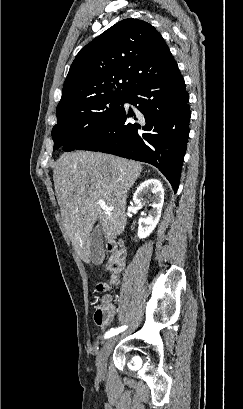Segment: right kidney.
Masks as SVG:
<instances>
[{
    "mask_svg": "<svg viewBox=\"0 0 243 409\" xmlns=\"http://www.w3.org/2000/svg\"><path fill=\"white\" fill-rule=\"evenodd\" d=\"M149 193L153 194L152 209L148 215L139 219L138 237L140 239L148 237L155 229L161 217V211L164 203V189L161 182L157 179H148L144 181L133 195L136 204L141 203L143 197Z\"/></svg>",
    "mask_w": 243,
    "mask_h": 409,
    "instance_id": "right-kidney-1",
    "label": "right kidney"
}]
</instances>
